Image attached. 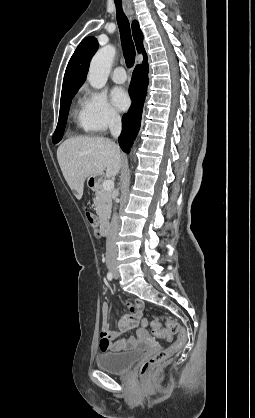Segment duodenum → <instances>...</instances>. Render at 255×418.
Instances as JSON below:
<instances>
[{
  "label": "duodenum",
  "instance_id": "1",
  "mask_svg": "<svg viewBox=\"0 0 255 418\" xmlns=\"http://www.w3.org/2000/svg\"><path fill=\"white\" fill-rule=\"evenodd\" d=\"M108 233V222L105 218L101 219L98 226V234L100 237H105Z\"/></svg>",
  "mask_w": 255,
  "mask_h": 418
}]
</instances>
